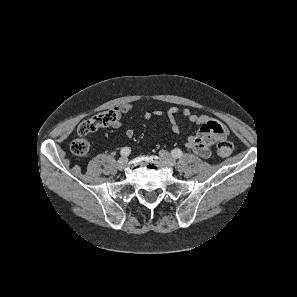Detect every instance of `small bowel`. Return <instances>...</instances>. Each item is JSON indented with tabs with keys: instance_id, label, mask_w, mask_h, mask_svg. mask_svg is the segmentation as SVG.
<instances>
[{
	"instance_id": "small-bowel-1",
	"label": "small bowel",
	"mask_w": 297,
	"mask_h": 297,
	"mask_svg": "<svg viewBox=\"0 0 297 297\" xmlns=\"http://www.w3.org/2000/svg\"><path fill=\"white\" fill-rule=\"evenodd\" d=\"M132 109L133 106L131 104H125L118 107L116 110L119 116H121L124 114H128L132 111ZM178 112V108L173 106L170 107L166 113L170 122L171 130L174 133H179L181 129L176 119ZM161 115V111L156 110L154 112H146L144 117L145 119L150 120L153 116ZM182 115L189 122L199 125L197 133L195 135L188 136L186 140V146L200 157L208 158L211 155V146L215 142L223 139L226 136L227 131L225 127L218 121L211 119L209 116L194 114L190 111V109L187 108L182 111ZM112 126L116 129L121 127V122L119 121V118L116 122L112 124ZM125 136L131 139L134 136V130L127 129L125 131Z\"/></svg>"
}]
</instances>
